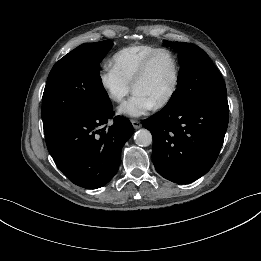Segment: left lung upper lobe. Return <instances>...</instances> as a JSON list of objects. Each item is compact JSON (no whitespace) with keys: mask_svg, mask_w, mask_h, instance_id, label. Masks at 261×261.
<instances>
[{"mask_svg":"<svg viewBox=\"0 0 261 261\" xmlns=\"http://www.w3.org/2000/svg\"><path fill=\"white\" fill-rule=\"evenodd\" d=\"M165 43L179 53L181 65L179 87L166 108L183 110L199 101L226 95L225 82L206 52L190 43Z\"/></svg>","mask_w":261,"mask_h":261,"instance_id":"left-lung-upper-lobe-1","label":"left lung upper lobe"}]
</instances>
